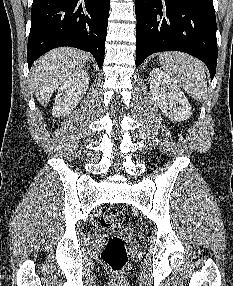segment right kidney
Returning <instances> with one entry per match:
<instances>
[{
    "label": "right kidney",
    "instance_id": "obj_1",
    "mask_svg": "<svg viewBox=\"0 0 233 286\" xmlns=\"http://www.w3.org/2000/svg\"><path fill=\"white\" fill-rule=\"evenodd\" d=\"M89 80V74L85 70L72 73L58 90L52 115L60 117L71 113L88 89Z\"/></svg>",
    "mask_w": 233,
    "mask_h": 286
}]
</instances>
